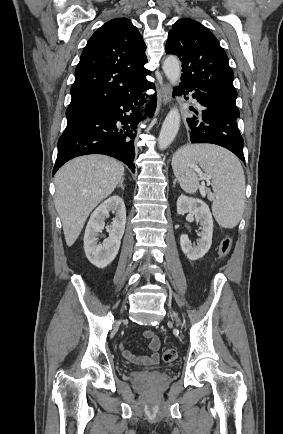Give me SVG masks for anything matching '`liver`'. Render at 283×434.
<instances>
[{
	"instance_id": "6515ba94",
	"label": "liver",
	"mask_w": 283,
	"mask_h": 434,
	"mask_svg": "<svg viewBox=\"0 0 283 434\" xmlns=\"http://www.w3.org/2000/svg\"><path fill=\"white\" fill-rule=\"evenodd\" d=\"M124 166L105 155L77 157L55 175V207L61 218L66 244L77 240L90 212L122 180Z\"/></svg>"
}]
</instances>
